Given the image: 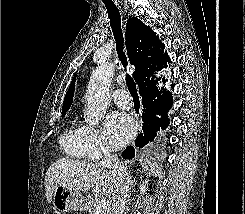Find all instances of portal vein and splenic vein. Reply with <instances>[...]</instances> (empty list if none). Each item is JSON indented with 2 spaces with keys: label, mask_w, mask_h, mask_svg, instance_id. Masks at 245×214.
Segmentation results:
<instances>
[{
  "label": "portal vein and splenic vein",
  "mask_w": 245,
  "mask_h": 214,
  "mask_svg": "<svg viewBox=\"0 0 245 214\" xmlns=\"http://www.w3.org/2000/svg\"><path fill=\"white\" fill-rule=\"evenodd\" d=\"M108 205H110V201L107 198L102 197L99 201V206L97 207V211L100 212L102 208H105Z\"/></svg>",
  "instance_id": "1"
}]
</instances>
